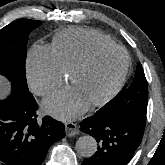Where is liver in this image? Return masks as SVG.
Returning a JSON list of instances; mask_svg holds the SVG:
<instances>
[{
    "label": "liver",
    "instance_id": "1",
    "mask_svg": "<svg viewBox=\"0 0 165 165\" xmlns=\"http://www.w3.org/2000/svg\"><path fill=\"white\" fill-rule=\"evenodd\" d=\"M10 92V83L0 76V99L5 98Z\"/></svg>",
    "mask_w": 165,
    "mask_h": 165
}]
</instances>
